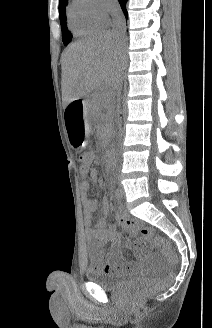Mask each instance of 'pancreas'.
Returning a JSON list of instances; mask_svg holds the SVG:
<instances>
[{
	"label": "pancreas",
	"instance_id": "1",
	"mask_svg": "<svg viewBox=\"0 0 212 328\" xmlns=\"http://www.w3.org/2000/svg\"><path fill=\"white\" fill-rule=\"evenodd\" d=\"M102 106L109 109V99L107 96L99 92L93 96V109L97 116L100 117V121L105 124L108 121L109 113H102Z\"/></svg>",
	"mask_w": 212,
	"mask_h": 328
}]
</instances>
